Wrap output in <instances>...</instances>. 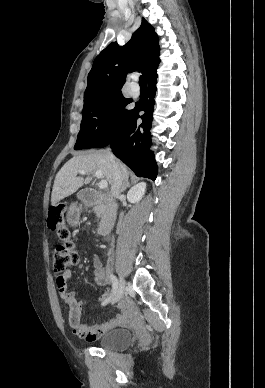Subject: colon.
I'll use <instances>...</instances> for the list:
<instances>
[{
    "label": "colon",
    "mask_w": 265,
    "mask_h": 388,
    "mask_svg": "<svg viewBox=\"0 0 265 388\" xmlns=\"http://www.w3.org/2000/svg\"><path fill=\"white\" fill-rule=\"evenodd\" d=\"M65 205L58 203L50 209L48 225L58 233L62 244L53 251V270L56 274L57 286L63 283L62 274L70 266L78 262L79 256L76 244L73 241L71 230L64 223Z\"/></svg>",
    "instance_id": "1"
}]
</instances>
